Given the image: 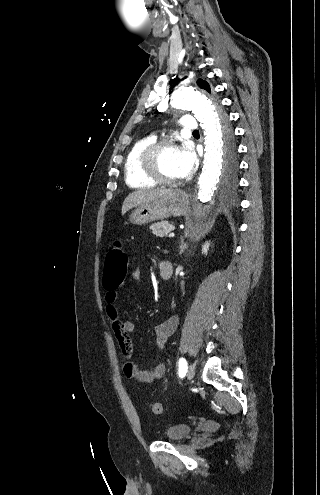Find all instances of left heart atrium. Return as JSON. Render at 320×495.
<instances>
[{
  "instance_id": "39dd6f15",
  "label": "left heart atrium",
  "mask_w": 320,
  "mask_h": 495,
  "mask_svg": "<svg viewBox=\"0 0 320 495\" xmlns=\"http://www.w3.org/2000/svg\"><path fill=\"white\" fill-rule=\"evenodd\" d=\"M179 164L181 170V178L189 176L195 165H196V157L193 150L185 146L181 149L179 154Z\"/></svg>"
}]
</instances>
